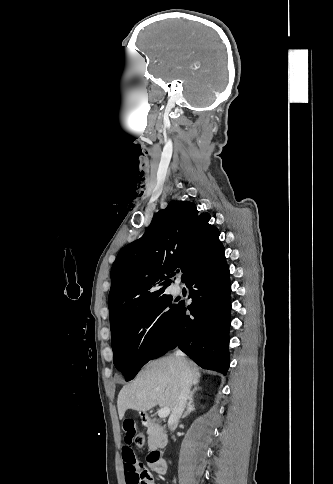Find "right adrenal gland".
Returning <instances> with one entry per match:
<instances>
[{
	"label": "right adrenal gland",
	"instance_id": "obj_1",
	"mask_svg": "<svg viewBox=\"0 0 333 484\" xmlns=\"http://www.w3.org/2000/svg\"><path fill=\"white\" fill-rule=\"evenodd\" d=\"M194 392L195 391H192L190 393V396L188 398V403H187L186 411H185L184 415L182 416V418H186L191 412H193V411L196 410V407H195V405L193 403Z\"/></svg>",
	"mask_w": 333,
	"mask_h": 484
}]
</instances>
